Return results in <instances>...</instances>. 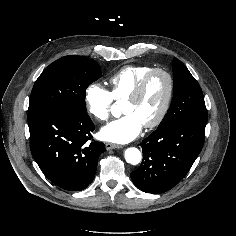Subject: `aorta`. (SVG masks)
Segmentation results:
<instances>
[{
	"label": "aorta",
	"mask_w": 236,
	"mask_h": 236,
	"mask_svg": "<svg viewBox=\"0 0 236 236\" xmlns=\"http://www.w3.org/2000/svg\"><path fill=\"white\" fill-rule=\"evenodd\" d=\"M141 159V152L137 148L130 147L125 150V160L127 163L131 165H137L140 163Z\"/></svg>",
	"instance_id": "762f6f07"
}]
</instances>
